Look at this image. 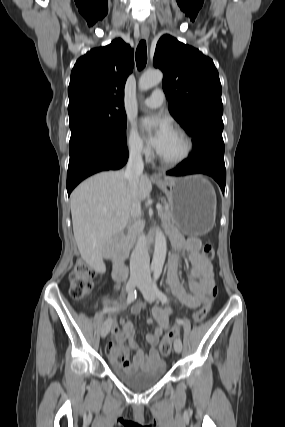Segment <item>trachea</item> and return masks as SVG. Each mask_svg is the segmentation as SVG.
I'll list each match as a JSON object with an SVG mask.
<instances>
[{
	"label": "trachea",
	"instance_id": "3493384b",
	"mask_svg": "<svg viewBox=\"0 0 285 427\" xmlns=\"http://www.w3.org/2000/svg\"><path fill=\"white\" fill-rule=\"evenodd\" d=\"M147 63V47L146 41L141 40L136 49V64L138 70H142Z\"/></svg>",
	"mask_w": 285,
	"mask_h": 427
}]
</instances>
